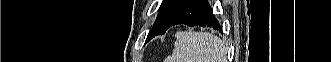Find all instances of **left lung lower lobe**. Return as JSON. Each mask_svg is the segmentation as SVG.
Listing matches in <instances>:
<instances>
[{"mask_svg":"<svg viewBox=\"0 0 331 62\" xmlns=\"http://www.w3.org/2000/svg\"><path fill=\"white\" fill-rule=\"evenodd\" d=\"M179 24H186L188 26H207L213 27L215 30L218 28L221 29L207 0H187L167 21L162 30V34H164L170 27ZM151 38H153V35L149 34L147 40H150Z\"/></svg>","mask_w":331,"mask_h":62,"instance_id":"1","label":"left lung lower lobe"}]
</instances>
